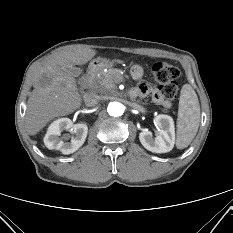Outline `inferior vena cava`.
Instances as JSON below:
<instances>
[{
    "mask_svg": "<svg viewBox=\"0 0 233 233\" xmlns=\"http://www.w3.org/2000/svg\"><path fill=\"white\" fill-rule=\"evenodd\" d=\"M100 100V97L94 93H88L84 96V101L88 107L95 106Z\"/></svg>",
    "mask_w": 233,
    "mask_h": 233,
    "instance_id": "inferior-vena-cava-1",
    "label": "inferior vena cava"
}]
</instances>
